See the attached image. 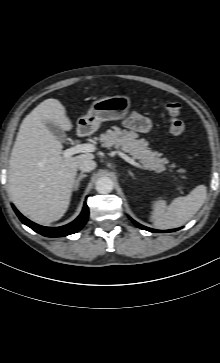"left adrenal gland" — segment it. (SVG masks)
I'll use <instances>...</instances> for the list:
<instances>
[{"instance_id":"a2214340","label":"left adrenal gland","mask_w":220,"mask_h":363,"mask_svg":"<svg viewBox=\"0 0 220 363\" xmlns=\"http://www.w3.org/2000/svg\"><path fill=\"white\" fill-rule=\"evenodd\" d=\"M129 175L133 177V179H135L134 174L131 171H128Z\"/></svg>"}]
</instances>
